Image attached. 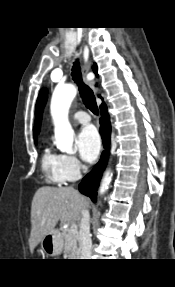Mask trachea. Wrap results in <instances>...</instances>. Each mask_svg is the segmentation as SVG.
Listing matches in <instances>:
<instances>
[{
    "label": "trachea",
    "mask_w": 175,
    "mask_h": 287,
    "mask_svg": "<svg viewBox=\"0 0 175 287\" xmlns=\"http://www.w3.org/2000/svg\"><path fill=\"white\" fill-rule=\"evenodd\" d=\"M72 78L79 87L80 96L84 105L94 114H98V107L93 91L82 81L79 62H74L72 67Z\"/></svg>",
    "instance_id": "trachea-1"
}]
</instances>
